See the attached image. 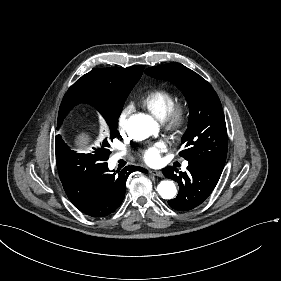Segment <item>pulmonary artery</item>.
Wrapping results in <instances>:
<instances>
[{"instance_id": "1", "label": "pulmonary artery", "mask_w": 281, "mask_h": 281, "mask_svg": "<svg viewBox=\"0 0 281 281\" xmlns=\"http://www.w3.org/2000/svg\"><path fill=\"white\" fill-rule=\"evenodd\" d=\"M125 153L122 151H118L116 152L113 156H112V161L116 162L119 159H122L125 157ZM187 164L184 165V168H186Z\"/></svg>"}]
</instances>
